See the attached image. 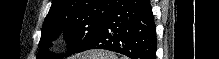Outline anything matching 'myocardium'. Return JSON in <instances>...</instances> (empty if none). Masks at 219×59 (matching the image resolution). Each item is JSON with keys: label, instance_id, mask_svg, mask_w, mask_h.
I'll return each instance as SVG.
<instances>
[{"label": "myocardium", "instance_id": "1", "mask_svg": "<svg viewBox=\"0 0 219 59\" xmlns=\"http://www.w3.org/2000/svg\"><path fill=\"white\" fill-rule=\"evenodd\" d=\"M63 46H64V41H63V40L57 41V42L55 43V45H54V47H55L56 49H62Z\"/></svg>", "mask_w": 219, "mask_h": 59}]
</instances>
